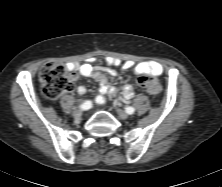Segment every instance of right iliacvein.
Returning a JSON list of instances; mask_svg holds the SVG:
<instances>
[{"instance_id":"1","label":"right iliac vein","mask_w":222,"mask_h":187,"mask_svg":"<svg viewBox=\"0 0 222 187\" xmlns=\"http://www.w3.org/2000/svg\"><path fill=\"white\" fill-rule=\"evenodd\" d=\"M82 109H75L74 111H73V116L75 117V118H79L81 115H82Z\"/></svg>"}]
</instances>
